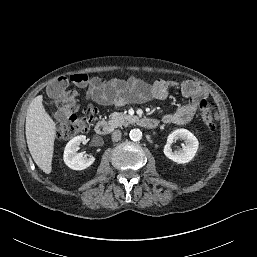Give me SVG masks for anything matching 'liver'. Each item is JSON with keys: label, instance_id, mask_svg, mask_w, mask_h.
Returning a JSON list of instances; mask_svg holds the SVG:
<instances>
[{"label": "liver", "instance_id": "obj_1", "mask_svg": "<svg viewBox=\"0 0 257 257\" xmlns=\"http://www.w3.org/2000/svg\"><path fill=\"white\" fill-rule=\"evenodd\" d=\"M25 134L30 154L37 166L51 173L56 123L45 111L42 96L35 97L26 115Z\"/></svg>", "mask_w": 257, "mask_h": 257}]
</instances>
